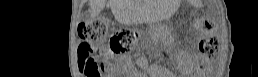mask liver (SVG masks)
I'll return each mask as SVG.
<instances>
[{
    "label": "liver",
    "instance_id": "1",
    "mask_svg": "<svg viewBox=\"0 0 258 77\" xmlns=\"http://www.w3.org/2000/svg\"><path fill=\"white\" fill-rule=\"evenodd\" d=\"M106 0H90L91 17L94 18L100 14L105 7ZM109 6L115 18L121 23H131L135 8L130 0H110Z\"/></svg>",
    "mask_w": 258,
    "mask_h": 77
}]
</instances>
